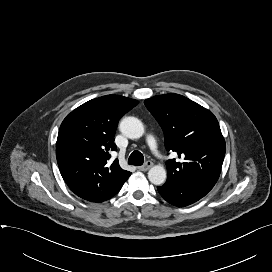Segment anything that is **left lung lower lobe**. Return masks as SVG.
Here are the masks:
<instances>
[{
    "label": "left lung lower lobe",
    "mask_w": 272,
    "mask_h": 272,
    "mask_svg": "<svg viewBox=\"0 0 272 272\" xmlns=\"http://www.w3.org/2000/svg\"><path fill=\"white\" fill-rule=\"evenodd\" d=\"M213 186L185 180L177 184L165 183L158 186L157 189L167 202L174 206L183 207L204 197Z\"/></svg>",
    "instance_id": "left-lung-lower-lobe-1"
}]
</instances>
